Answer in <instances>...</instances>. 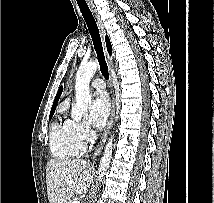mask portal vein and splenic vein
Returning a JSON list of instances; mask_svg holds the SVG:
<instances>
[{"label":"portal vein and splenic vein","mask_w":214,"mask_h":203,"mask_svg":"<svg viewBox=\"0 0 214 203\" xmlns=\"http://www.w3.org/2000/svg\"><path fill=\"white\" fill-rule=\"evenodd\" d=\"M68 183H69V184H71V183H72V181H68ZM59 191H60V190H59ZM72 203H80V202H79V201H77V200H73V201H72Z\"/></svg>","instance_id":"obj_1"}]
</instances>
